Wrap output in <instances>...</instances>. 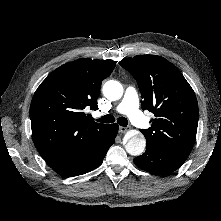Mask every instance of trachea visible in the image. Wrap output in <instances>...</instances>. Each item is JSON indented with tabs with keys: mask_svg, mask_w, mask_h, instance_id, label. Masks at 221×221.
I'll list each match as a JSON object with an SVG mask.
<instances>
[{
	"mask_svg": "<svg viewBox=\"0 0 221 221\" xmlns=\"http://www.w3.org/2000/svg\"><path fill=\"white\" fill-rule=\"evenodd\" d=\"M98 121L101 123H113L115 121V118H114V116L108 114V115H105V116L101 117L100 119H98ZM117 123L123 127H126L128 125V121L124 117H120L117 120Z\"/></svg>",
	"mask_w": 221,
	"mask_h": 221,
	"instance_id": "obj_1",
	"label": "trachea"
}]
</instances>
